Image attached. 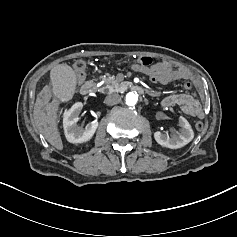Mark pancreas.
I'll return each instance as SVG.
<instances>
[{"instance_id": "cf45deb5", "label": "pancreas", "mask_w": 237, "mask_h": 237, "mask_svg": "<svg viewBox=\"0 0 237 237\" xmlns=\"http://www.w3.org/2000/svg\"><path fill=\"white\" fill-rule=\"evenodd\" d=\"M105 82L107 83L106 87H103L101 89V92H105L106 90H108V92L114 91V88L116 86H118L117 81L115 80V76H109L108 78L105 79Z\"/></svg>"}]
</instances>
